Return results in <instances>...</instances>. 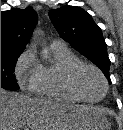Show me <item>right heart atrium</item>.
Segmentation results:
<instances>
[{
	"mask_svg": "<svg viewBox=\"0 0 123 130\" xmlns=\"http://www.w3.org/2000/svg\"><path fill=\"white\" fill-rule=\"evenodd\" d=\"M15 73L20 86L31 90L38 75V62L33 49H27L19 57Z\"/></svg>",
	"mask_w": 123,
	"mask_h": 130,
	"instance_id": "obj_1",
	"label": "right heart atrium"
}]
</instances>
